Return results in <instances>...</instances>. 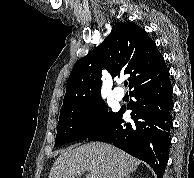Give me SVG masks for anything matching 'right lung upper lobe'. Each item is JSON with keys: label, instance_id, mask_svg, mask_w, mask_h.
I'll return each mask as SVG.
<instances>
[{"label": "right lung upper lobe", "instance_id": "1", "mask_svg": "<svg viewBox=\"0 0 194 178\" xmlns=\"http://www.w3.org/2000/svg\"><path fill=\"white\" fill-rule=\"evenodd\" d=\"M112 77L129 75V88L157 78L167 69L163 56L144 29L134 23H118L104 41L74 65L67 80L60 113L101 98V70Z\"/></svg>", "mask_w": 194, "mask_h": 178}]
</instances>
